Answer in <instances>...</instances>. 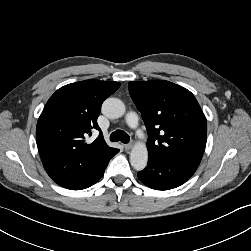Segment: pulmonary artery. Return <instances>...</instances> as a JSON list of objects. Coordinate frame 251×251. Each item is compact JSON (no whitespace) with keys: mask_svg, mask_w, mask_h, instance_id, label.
<instances>
[{"mask_svg":"<svg viewBox=\"0 0 251 251\" xmlns=\"http://www.w3.org/2000/svg\"><path fill=\"white\" fill-rule=\"evenodd\" d=\"M126 121L128 123V125L132 128H137L138 127V117L135 113L130 112L127 115ZM138 135H141V130H137Z\"/></svg>","mask_w":251,"mask_h":251,"instance_id":"1","label":"pulmonary artery"}]
</instances>
